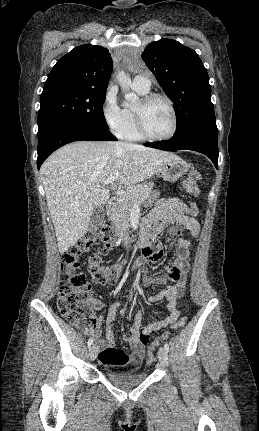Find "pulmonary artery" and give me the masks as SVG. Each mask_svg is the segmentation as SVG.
<instances>
[{
  "mask_svg": "<svg viewBox=\"0 0 259 431\" xmlns=\"http://www.w3.org/2000/svg\"><path fill=\"white\" fill-rule=\"evenodd\" d=\"M132 86L142 91H149L151 86L150 78L146 75H137L132 81Z\"/></svg>",
  "mask_w": 259,
  "mask_h": 431,
  "instance_id": "obj_1",
  "label": "pulmonary artery"
}]
</instances>
